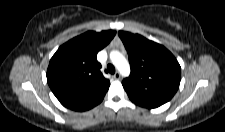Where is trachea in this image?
Returning <instances> with one entry per match:
<instances>
[{
    "instance_id": "trachea-1",
    "label": "trachea",
    "mask_w": 225,
    "mask_h": 132,
    "mask_svg": "<svg viewBox=\"0 0 225 132\" xmlns=\"http://www.w3.org/2000/svg\"><path fill=\"white\" fill-rule=\"evenodd\" d=\"M106 72L110 73V74H114L115 73V67L112 64H108Z\"/></svg>"
}]
</instances>
